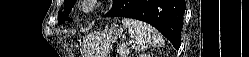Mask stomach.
I'll list each match as a JSON object with an SVG mask.
<instances>
[{"label":"stomach","mask_w":249,"mask_h":57,"mask_svg":"<svg viewBox=\"0 0 249 57\" xmlns=\"http://www.w3.org/2000/svg\"><path fill=\"white\" fill-rule=\"evenodd\" d=\"M123 33L118 26L88 35L84 41L85 57H107L110 47Z\"/></svg>","instance_id":"obj_1"}]
</instances>
